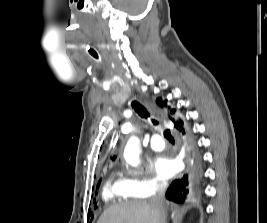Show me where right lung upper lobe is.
Returning a JSON list of instances; mask_svg holds the SVG:
<instances>
[{"label": "right lung upper lobe", "mask_w": 267, "mask_h": 223, "mask_svg": "<svg viewBox=\"0 0 267 223\" xmlns=\"http://www.w3.org/2000/svg\"><path fill=\"white\" fill-rule=\"evenodd\" d=\"M157 104L161 107H167V101H161V98H158L156 100ZM168 109H170V107H168ZM169 118L172 120V122L174 123V127L177 130H182L184 122L182 121V119L179 116L175 115V109H171L170 113L168 114Z\"/></svg>", "instance_id": "right-lung-upper-lobe-1"}]
</instances>
